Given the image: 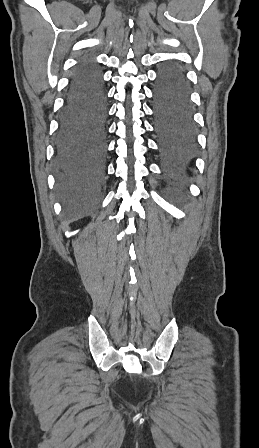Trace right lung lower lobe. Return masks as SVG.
I'll return each instance as SVG.
<instances>
[{
    "instance_id": "right-lung-lower-lobe-1",
    "label": "right lung lower lobe",
    "mask_w": 259,
    "mask_h": 448,
    "mask_svg": "<svg viewBox=\"0 0 259 448\" xmlns=\"http://www.w3.org/2000/svg\"><path fill=\"white\" fill-rule=\"evenodd\" d=\"M107 95L98 64L84 59L74 70L55 136L59 183L88 187L102 182L107 159Z\"/></svg>"
}]
</instances>
